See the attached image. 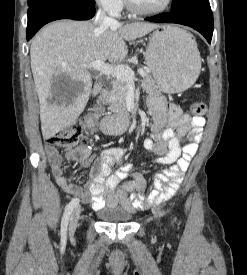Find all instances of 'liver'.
Here are the masks:
<instances>
[{
    "label": "liver",
    "instance_id": "1",
    "mask_svg": "<svg viewBox=\"0 0 247 275\" xmlns=\"http://www.w3.org/2000/svg\"><path fill=\"white\" fill-rule=\"evenodd\" d=\"M160 26L133 22L103 28L88 21L60 20L42 29L32 40L31 69L40 105L41 130L50 139L73 124L83 112L92 90L88 65L101 60L122 61L128 54L126 41L143 37ZM66 74L78 84L75 94L51 91L52 80Z\"/></svg>",
    "mask_w": 247,
    "mask_h": 275
}]
</instances>
